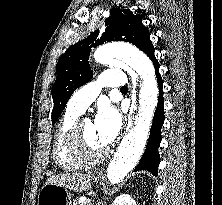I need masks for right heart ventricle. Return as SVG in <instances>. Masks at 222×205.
Masks as SVG:
<instances>
[{"label":"right heart ventricle","mask_w":222,"mask_h":205,"mask_svg":"<svg viewBox=\"0 0 222 205\" xmlns=\"http://www.w3.org/2000/svg\"><path fill=\"white\" fill-rule=\"evenodd\" d=\"M79 114L67 108L55 133L52 155L55 164L61 169L73 170L81 168L83 165L70 154L68 147V135Z\"/></svg>","instance_id":"obj_1"}]
</instances>
